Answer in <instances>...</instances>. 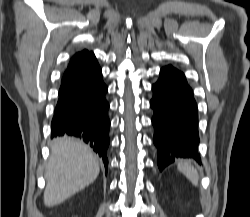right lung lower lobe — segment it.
Listing matches in <instances>:
<instances>
[{
    "instance_id": "1",
    "label": "right lung lower lobe",
    "mask_w": 250,
    "mask_h": 217,
    "mask_svg": "<svg viewBox=\"0 0 250 217\" xmlns=\"http://www.w3.org/2000/svg\"><path fill=\"white\" fill-rule=\"evenodd\" d=\"M107 86L94 55L65 71L51 122V138L74 136L89 144L108 167L109 103Z\"/></svg>"
}]
</instances>
